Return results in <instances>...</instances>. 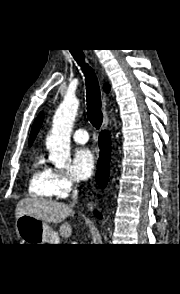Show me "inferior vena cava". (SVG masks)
<instances>
[{
  "instance_id": "inferior-vena-cava-1",
  "label": "inferior vena cava",
  "mask_w": 180,
  "mask_h": 294,
  "mask_svg": "<svg viewBox=\"0 0 180 294\" xmlns=\"http://www.w3.org/2000/svg\"><path fill=\"white\" fill-rule=\"evenodd\" d=\"M78 198V190L75 188L72 192V205H74Z\"/></svg>"
}]
</instances>
